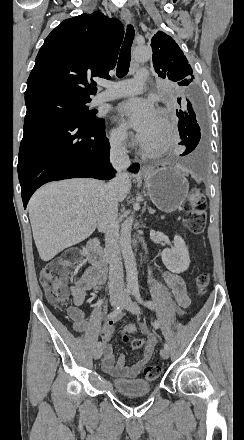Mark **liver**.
Returning a JSON list of instances; mask_svg holds the SVG:
<instances>
[{"label":"liver","instance_id":"6515ba94","mask_svg":"<svg viewBox=\"0 0 244 440\" xmlns=\"http://www.w3.org/2000/svg\"><path fill=\"white\" fill-rule=\"evenodd\" d=\"M105 186L99 180L75 178L50 182L33 194L28 204L29 220L43 262L95 232ZM131 186L130 178L121 180L118 202H123Z\"/></svg>","mask_w":244,"mask_h":440}]
</instances>
